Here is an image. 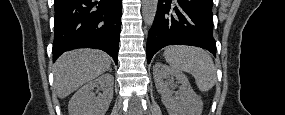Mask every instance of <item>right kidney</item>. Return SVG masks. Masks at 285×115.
Masks as SVG:
<instances>
[{
    "label": "right kidney",
    "instance_id": "1",
    "mask_svg": "<svg viewBox=\"0 0 285 115\" xmlns=\"http://www.w3.org/2000/svg\"><path fill=\"white\" fill-rule=\"evenodd\" d=\"M114 77L103 74L94 81L88 82L80 88L71 98L68 111L70 115H105L113 98ZM103 93L95 96V87Z\"/></svg>",
    "mask_w": 285,
    "mask_h": 115
}]
</instances>
